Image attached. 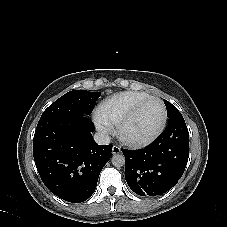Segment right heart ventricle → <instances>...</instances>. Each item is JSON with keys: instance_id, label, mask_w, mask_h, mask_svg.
Instances as JSON below:
<instances>
[{"instance_id": "right-heart-ventricle-1", "label": "right heart ventricle", "mask_w": 227, "mask_h": 227, "mask_svg": "<svg viewBox=\"0 0 227 227\" xmlns=\"http://www.w3.org/2000/svg\"><path fill=\"white\" fill-rule=\"evenodd\" d=\"M148 97L150 95L144 92L117 93L99 105L97 114L112 125H117L137 104Z\"/></svg>"}]
</instances>
